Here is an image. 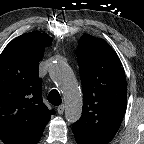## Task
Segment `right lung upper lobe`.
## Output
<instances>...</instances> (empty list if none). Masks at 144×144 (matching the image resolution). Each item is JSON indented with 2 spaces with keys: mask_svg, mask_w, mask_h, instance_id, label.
Listing matches in <instances>:
<instances>
[{
  "mask_svg": "<svg viewBox=\"0 0 144 144\" xmlns=\"http://www.w3.org/2000/svg\"><path fill=\"white\" fill-rule=\"evenodd\" d=\"M52 38L30 32L0 55V138L4 144H37L53 111L42 101L38 63Z\"/></svg>",
  "mask_w": 144,
  "mask_h": 144,
  "instance_id": "obj_1",
  "label": "right lung upper lobe"
}]
</instances>
